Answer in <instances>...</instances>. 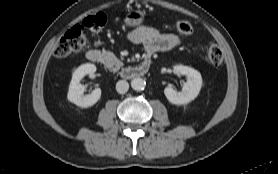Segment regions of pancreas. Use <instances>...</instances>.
<instances>
[{"instance_id": "pancreas-1", "label": "pancreas", "mask_w": 278, "mask_h": 174, "mask_svg": "<svg viewBox=\"0 0 278 174\" xmlns=\"http://www.w3.org/2000/svg\"><path fill=\"white\" fill-rule=\"evenodd\" d=\"M102 55L104 65L112 71H117L123 66V63L119 61L112 52L103 51Z\"/></svg>"}]
</instances>
